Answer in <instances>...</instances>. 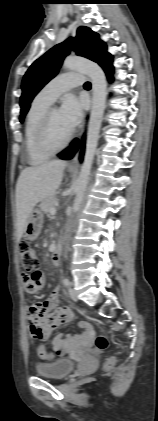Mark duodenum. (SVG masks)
Masks as SVG:
<instances>
[{
  "instance_id": "obj_1",
  "label": "duodenum",
  "mask_w": 158,
  "mask_h": 421,
  "mask_svg": "<svg viewBox=\"0 0 158 421\" xmlns=\"http://www.w3.org/2000/svg\"><path fill=\"white\" fill-rule=\"evenodd\" d=\"M61 256H62V248L60 245H57L52 254V263L56 266L59 265L61 262Z\"/></svg>"
}]
</instances>
